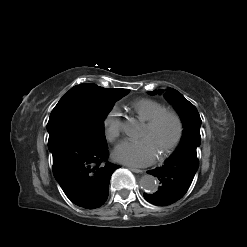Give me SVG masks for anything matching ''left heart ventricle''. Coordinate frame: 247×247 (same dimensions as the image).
<instances>
[{"mask_svg": "<svg viewBox=\"0 0 247 247\" xmlns=\"http://www.w3.org/2000/svg\"><path fill=\"white\" fill-rule=\"evenodd\" d=\"M174 132V121L170 118H166L153 130H150L144 126L141 137L149 138L155 145L157 151L160 152L161 149L172 139Z\"/></svg>", "mask_w": 247, "mask_h": 247, "instance_id": "left-heart-ventricle-1", "label": "left heart ventricle"}]
</instances>
